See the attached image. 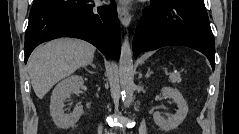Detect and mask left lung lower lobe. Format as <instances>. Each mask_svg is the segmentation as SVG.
Returning a JSON list of instances; mask_svg holds the SVG:
<instances>
[{
    "mask_svg": "<svg viewBox=\"0 0 239 134\" xmlns=\"http://www.w3.org/2000/svg\"><path fill=\"white\" fill-rule=\"evenodd\" d=\"M182 45L202 52L215 68V42L204 0H151L137 25L133 53Z\"/></svg>",
    "mask_w": 239,
    "mask_h": 134,
    "instance_id": "obj_1",
    "label": "left lung lower lobe"
}]
</instances>
